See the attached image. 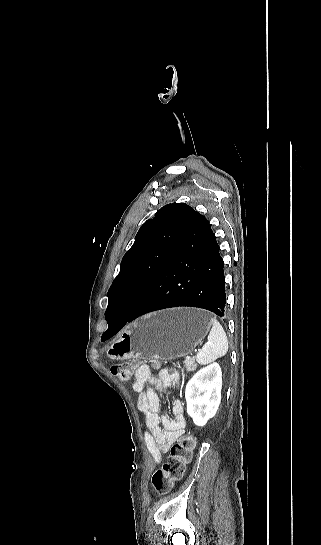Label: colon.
Instances as JSON below:
<instances>
[{
  "instance_id": "1",
  "label": "colon",
  "mask_w": 321,
  "mask_h": 545,
  "mask_svg": "<svg viewBox=\"0 0 321 545\" xmlns=\"http://www.w3.org/2000/svg\"><path fill=\"white\" fill-rule=\"evenodd\" d=\"M133 371L134 365L130 363H119L111 367V373L125 384L131 383ZM194 448L195 439L191 436L181 438L171 447L168 460L153 473L151 478L153 489L157 493H168L183 477Z\"/></svg>"
}]
</instances>
